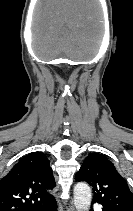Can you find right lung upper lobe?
<instances>
[{
  "mask_svg": "<svg viewBox=\"0 0 133 211\" xmlns=\"http://www.w3.org/2000/svg\"><path fill=\"white\" fill-rule=\"evenodd\" d=\"M55 187L45 154L33 152L24 156L0 181V211H39L54 197Z\"/></svg>",
  "mask_w": 133,
  "mask_h": 211,
  "instance_id": "right-lung-upper-lobe-1",
  "label": "right lung upper lobe"
}]
</instances>
